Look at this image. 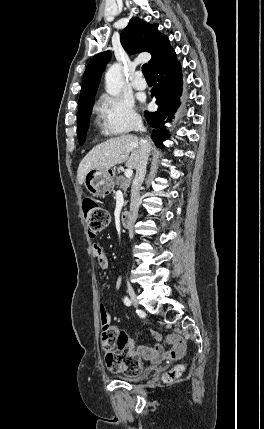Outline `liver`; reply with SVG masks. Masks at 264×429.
Here are the masks:
<instances>
[{
  "instance_id": "6515ba94",
  "label": "liver",
  "mask_w": 264,
  "mask_h": 429,
  "mask_svg": "<svg viewBox=\"0 0 264 429\" xmlns=\"http://www.w3.org/2000/svg\"><path fill=\"white\" fill-rule=\"evenodd\" d=\"M140 140L134 135H122L95 146L80 162L77 180L83 184L86 174L93 169H110L126 162V166L136 169L140 160ZM131 155L129 156V154Z\"/></svg>"
}]
</instances>
